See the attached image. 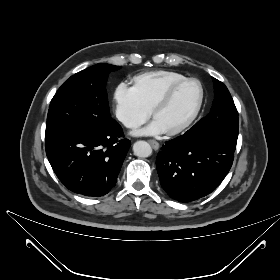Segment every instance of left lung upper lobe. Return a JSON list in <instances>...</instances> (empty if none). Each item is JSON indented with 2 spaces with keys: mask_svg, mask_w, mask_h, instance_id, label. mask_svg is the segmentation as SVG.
<instances>
[{
  "mask_svg": "<svg viewBox=\"0 0 280 280\" xmlns=\"http://www.w3.org/2000/svg\"><path fill=\"white\" fill-rule=\"evenodd\" d=\"M212 80L214 101L211 110L185 134H207L236 145L239 132L237 109L227 87L215 78Z\"/></svg>",
  "mask_w": 280,
  "mask_h": 280,
  "instance_id": "left-lung-upper-lobe-1",
  "label": "left lung upper lobe"
}]
</instances>
